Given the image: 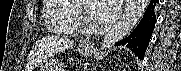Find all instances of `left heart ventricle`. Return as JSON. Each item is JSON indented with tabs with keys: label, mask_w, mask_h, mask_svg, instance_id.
<instances>
[{
	"label": "left heart ventricle",
	"mask_w": 181,
	"mask_h": 71,
	"mask_svg": "<svg viewBox=\"0 0 181 71\" xmlns=\"http://www.w3.org/2000/svg\"><path fill=\"white\" fill-rule=\"evenodd\" d=\"M91 3H89V5H88V7H91V6H93V3L90 5Z\"/></svg>",
	"instance_id": "obj_1"
}]
</instances>
